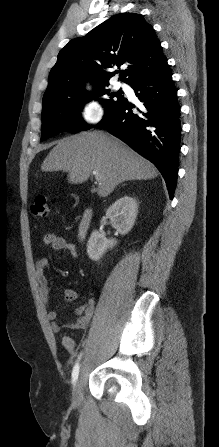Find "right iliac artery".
Listing matches in <instances>:
<instances>
[{
  "instance_id": "right-iliac-artery-1",
  "label": "right iliac artery",
  "mask_w": 219,
  "mask_h": 447,
  "mask_svg": "<svg viewBox=\"0 0 219 447\" xmlns=\"http://www.w3.org/2000/svg\"><path fill=\"white\" fill-rule=\"evenodd\" d=\"M78 359H80V357L78 358ZM79 368H80V366H79V360L77 361V363L74 365V367H73V371H72V381H73V383L77 380V378H78V375H79Z\"/></svg>"
}]
</instances>
